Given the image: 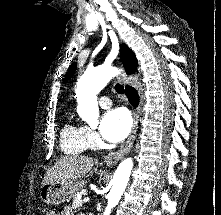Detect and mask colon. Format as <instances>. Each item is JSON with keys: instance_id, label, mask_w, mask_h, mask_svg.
<instances>
[{"instance_id": "1", "label": "colon", "mask_w": 221, "mask_h": 215, "mask_svg": "<svg viewBox=\"0 0 221 215\" xmlns=\"http://www.w3.org/2000/svg\"><path fill=\"white\" fill-rule=\"evenodd\" d=\"M42 215H58V214L52 209H47L44 211Z\"/></svg>"}]
</instances>
